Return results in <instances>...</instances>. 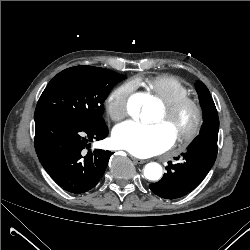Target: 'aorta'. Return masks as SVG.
Here are the masks:
<instances>
[{
  "mask_svg": "<svg viewBox=\"0 0 250 250\" xmlns=\"http://www.w3.org/2000/svg\"><path fill=\"white\" fill-rule=\"evenodd\" d=\"M142 117L144 120L150 121L153 116L148 109L144 108ZM144 176L149 180H159L162 176V167L158 163H148L144 169Z\"/></svg>",
  "mask_w": 250,
  "mask_h": 250,
  "instance_id": "obj_1",
  "label": "aorta"
}]
</instances>
